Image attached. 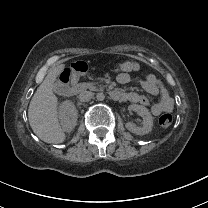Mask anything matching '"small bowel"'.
<instances>
[{
  "label": "small bowel",
  "instance_id": "1",
  "mask_svg": "<svg viewBox=\"0 0 208 208\" xmlns=\"http://www.w3.org/2000/svg\"><path fill=\"white\" fill-rule=\"evenodd\" d=\"M118 83L125 85L130 82H137L142 89L152 95H159L160 100L154 104L151 111L154 115L158 116L162 113L170 112L173 109V100L167 88L154 75H148L143 79H135L126 73H120L117 76ZM128 101L139 103L141 105H148L149 100L146 96L139 95L135 92L125 94Z\"/></svg>",
  "mask_w": 208,
  "mask_h": 208
}]
</instances>
